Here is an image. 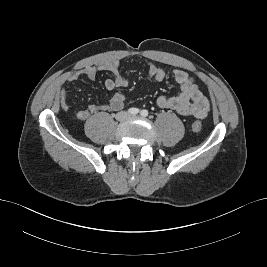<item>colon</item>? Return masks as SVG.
<instances>
[{"instance_id":"5ec220e1","label":"colon","mask_w":267,"mask_h":267,"mask_svg":"<svg viewBox=\"0 0 267 267\" xmlns=\"http://www.w3.org/2000/svg\"><path fill=\"white\" fill-rule=\"evenodd\" d=\"M192 129L194 132H199L201 129H202V124L200 121H195L193 124H192Z\"/></svg>"}]
</instances>
